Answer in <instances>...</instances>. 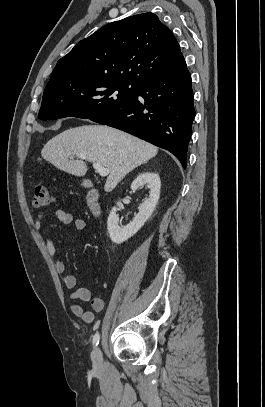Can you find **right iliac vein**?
Segmentation results:
<instances>
[{
    "label": "right iliac vein",
    "mask_w": 265,
    "mask_h": 407,
    "mask_svg": "<svg viewBox=\"0 0 265 407\" xmlns=\"http://www.w3.org/2000/svg\"><path fill=\"white\" fill-rule=\"evenodd\" d=\"M92 360L95 365H98L101 363L102 360V353L99 347L95 348L93 353H92Z\"/></svg>",
    "instance_id": "obj_1"
}]
</instances>
